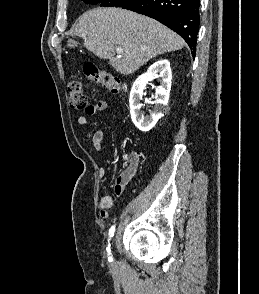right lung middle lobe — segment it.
Returning <instances> with one entry per match:
<instances>
[{
    "instance_id": "right-lung-middle-lobe-1",
    "label": "right lung middle lobe",
    "mask_w": 259,
    "mask_h": 294,
    "mask_svg": "<svg viewBox=\"0 0 259 294\" xmlns=\"http://www.w3.org/2000/svg\"><path fill=\"white\" fill-rule=\"evenodd\" d=\"M85 3L89 4H98L101 3L102 6H111V7H121L129 0H83Z\"/></svg>"
}]
</instances>
